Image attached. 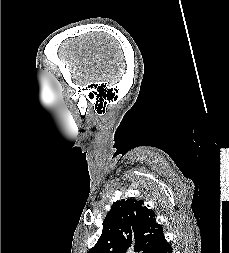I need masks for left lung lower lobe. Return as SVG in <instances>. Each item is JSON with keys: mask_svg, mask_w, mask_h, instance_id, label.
I'll use <instances>...</instances> for the list:
<instances>
[{"mask_svg": "<svg viewBox=\"0 0 229 253\" xmlns=\"http://www.w3.org/2000/svg\"><path fill=\"white\" fill-rule=\"evenodd\" d=\"M153 253H172V247L165 237L159 242Z\"/></svg>", "mask_w": 229, "mask_h": 253, "instance_id": "left-lung-lower-lobe-1", "label": "left lung lower lobe"}]
</instances>
